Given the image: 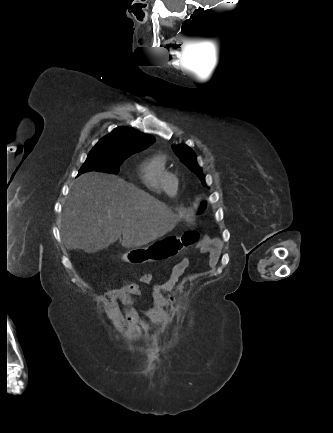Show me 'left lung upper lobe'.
<instances>
[{"label":"left lung upper lobe","instance_id":"obj_1","mask_svg":"<svg viewBox=\"0 0 333 433\" xmlns=\"http://www.w3.org/2000/svg\"><path fill=\"white\" fill-rule=\"evenodd\" d=\"M173 151L179 157V159L195 174H197L202 183L205 184V179L202 174L200 167L196 162V156L194 152L187 145H173Z\"/></svg>","mask_w":333,"mask_h":433}]
</instances>
